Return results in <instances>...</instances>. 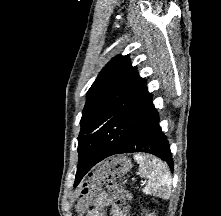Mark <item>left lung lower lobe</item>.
Here are the masks:
<instances>
[{"mask_svg":"<svg viewBox=\"0 0 221 216\" xmlns=\"http://www.w3.org/2000/svg\"><path fill=\"white\" fill-rule=\"evenodd\" d=\"M145 152L153 154L166 161L173 170L172 155L169 142L159 126L157 109L152 108L148 117L135 131L133 136L120 149L114 150L109 145H96L85 150L80 158L74 186H77L83 176L103 159L122 153Z\"/></svg>","mask_w":221,"mask_h":216,"instance_id":"1","label":"left lung lower lobe"}]
</instances>
